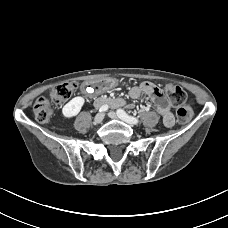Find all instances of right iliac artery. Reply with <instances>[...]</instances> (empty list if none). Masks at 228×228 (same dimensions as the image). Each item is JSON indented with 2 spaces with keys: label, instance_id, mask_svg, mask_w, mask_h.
I'll use <instances>...</instances> for the list:
<instances>
[{
  "label": "right iliac artery",
  "instance_id": "right-iliac-artery-1",
  "mask_svg": "<svg viewBox=\"0 0 228 228\" xmlns=\"http://www.w3.org/2000/svg\"><path fill=\"white\" fill-rule=\"evenodd\" d=\"M108 108H109L108 105H102V106L99 108V111H100V112H104V111H107Z\"/></svg>",
  "mask_w": 228,
  "mask_h": 228
}]
</instances>
